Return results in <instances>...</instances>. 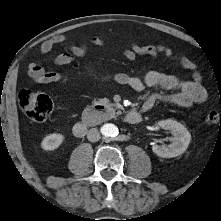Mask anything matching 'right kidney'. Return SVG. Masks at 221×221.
<instances>
[{"label":"right kidney","mask_w":221,"mask_h":221,"mask_svg":"<svg viewBox=\"0 0 221 221\" xmlns=\"http://www.w3.org/2000/svg\"><path fill=\"white\" fill-rule=\"evenodd\" d=\"M63 140L64 136L62 134H49L42 140L41 147L44 150H55L62 144Z\"/></svg>","instance_id":"1"}]
</instances>
